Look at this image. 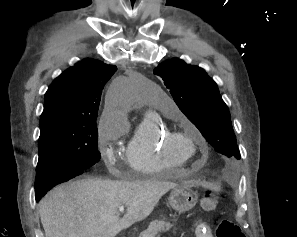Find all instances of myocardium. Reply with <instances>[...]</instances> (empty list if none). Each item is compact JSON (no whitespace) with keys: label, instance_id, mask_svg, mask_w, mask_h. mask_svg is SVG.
<instances>
[{"label":"myocardium","instance_id":"f54148a6","mask_svg":"<svg viewBox=\"0 0 297 237\" xmlns=\"http://www.w3.org/2000/svg\"><path fill=\"white\" fill-rule=\"evenodd\" d=\"M167 145L183 154L187 159L191 158L198 149V140L183 132H172L166 136Z\"/></svg>","mask_w":297,"mask_h":237}]
</instances>
